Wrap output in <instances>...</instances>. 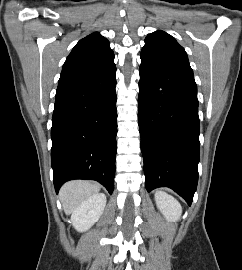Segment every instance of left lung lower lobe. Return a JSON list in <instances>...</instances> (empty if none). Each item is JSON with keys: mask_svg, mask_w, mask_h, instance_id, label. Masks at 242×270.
I'll list each match as a JSON object with an SVG mask.
<instances>
[{"mask_svg": "<svg viewBox=\"0 0 242 270\" xmlns=\"http://www.w3.org/2000/svg\"><path fill=\"white\" fill-rule=\"evenodd\" d=\"M139 74L138 120L146 189L170 187L191 205L200 153L194 76L143 61Z\"/></svg>", "mask_w": 242, "mask_h": 270, "instance_id": "0a47b994", "label": "left lung lower lobe"}]
</instances>
